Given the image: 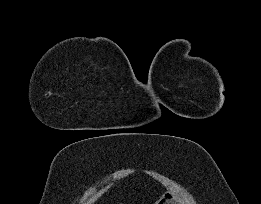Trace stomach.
<instances>
[{
    "label": "stomach",
    "instance_id": "stomach-1",
    "mask_svg": "<svg viewBox=\"0 0 261 204\" xmlns=\"http://www.w3.org/2000/svg\"><path fill=\"white\" fill-rule=\"evenodd\" d=\"M156 204H176V200L171 192L165 193Z\"/></svg>",
    "mask_w": 261,
    "mask_h": 204
}]
</instances>
